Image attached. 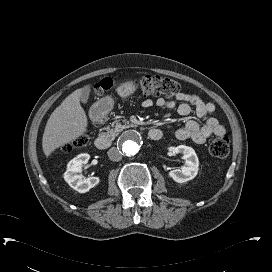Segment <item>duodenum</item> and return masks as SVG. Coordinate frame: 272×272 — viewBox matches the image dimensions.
I'll return each mask as SVG.
<instances>
[{
	"mask_svg": "<svg viewBox=\"0 0 272 272\" xmlns=\"http://www.w3.org/2000/svg\"><path fill=\"white\" fill-rule=\"evenodd\" d=\"M107 113V106L106 104H100L93 107L89 112V118L94 123H100L103 121L104 116ZM148 137L151 140H159L162 137V132L157 127H151L147 133ZM111 144L110 138L106 135H100L97 137L95 141L96 148L100 150L107 149Z\"/></svg>",
	"mask_w": 272,
	"mask_h": 272,
	"instance_id": "obj_1",
	"label": "duodenum"
}]
</instances>
